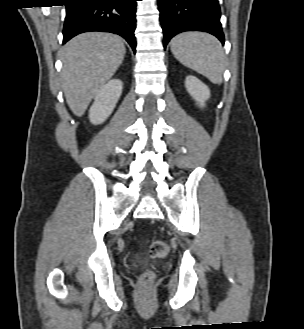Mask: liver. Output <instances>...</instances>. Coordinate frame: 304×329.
I'll return each instance as SVG.
<instances>
[{"instance_id": "1", "label": "liver", "mask_w": 304, "mask_h": 329, "mask_svg": "<svg viewBox=\"0 0 304 329\" xmlns=\"http://www.w3.org/2000/svg\"><path fill=\"white\" fill-rule=\"evenodd\" d=\"M126 49L121 37L88 32L71 39L62 51V87L67 104L82 116L100 88L121 65Z\"/></svg>"}]
</instances>
